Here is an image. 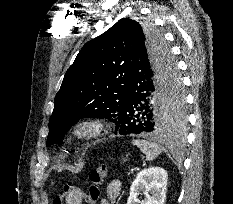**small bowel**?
Here are the masks:
<instances>
[{"label":"small bowel","instance_id":"c3829d8e","mask_svg":"<svg viewBox=\"0 0 233 204\" xmlns=\"http://www.w3.org/2000/svg\"><path fill=\"white\" fill-rule=\"evenodd\" d=\"M121 191V182L119 180H111L105 188L104 197L100 204H115ZM85 202H90L86 199Z\"/></svg>","mask_w":233,"mask_h":204}]
</instances>
